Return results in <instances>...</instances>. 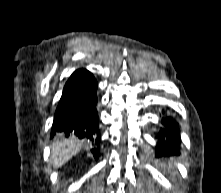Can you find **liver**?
<instances>
[{
    "label": "liver",
    "instance_id": "obj_1",
    "mask_svg": "<svg viewBox=\"0 0 221 193\" xmlns=\"http://www.w3.org/2000/svg\"><path fill=\"white\" fill-rule=\"evenodd\" d=\"M81 149L80 143L73 140H57L52 145L51 163L54 168L61 167Z\"/></svg>",
    "mask_w": 221,
    "mask_h": 193
}]
</instances>
